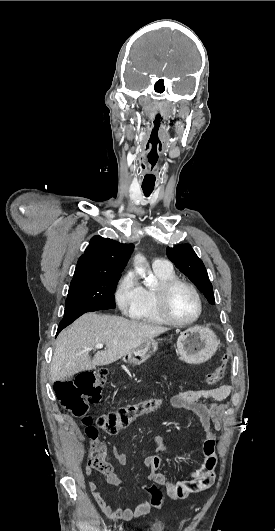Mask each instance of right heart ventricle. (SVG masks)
I'll list each match as a JSON object with an SVG mask.
<instances>
[{"instance_id":"obj_1","label":"right heart ventricle","mask_w":275,"mask_h":531,"mask_svg":"<svg viewBox=\"0 0 275 531\" xmlns=\"http://www.w3.org/2000/svg\"><path fill=\"white\" fill-rule=\"evenodd\" d=\"M158 282H163L174 278L175 274L171 270H156ZM157 287V286H156ZM154 288H143V301L140 309L133 316L134 319L152 324H166L167 321L161 316L157 308L156 293Z\"/></svg>"}]
</instances>
